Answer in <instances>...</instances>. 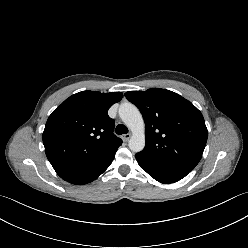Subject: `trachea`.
Instances as JSON below:
<instances>
[{"label": "trachea", "mask_w": 248, "mask_h": 248, "mask_svg": "<svg viewBox=\"0 0 248 248\" xmlns=\"http://www.w3.org/2000/svg\"><path fill=\"white\" fill-rule=\"evenodd\" d=\"M115 131H116V133L118 135L127 134L128 133V128L123 124H119V125L116 126Z\"/></svg>", "instance_id": "3493384b"}]
</instances>
